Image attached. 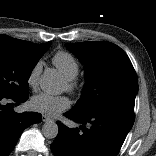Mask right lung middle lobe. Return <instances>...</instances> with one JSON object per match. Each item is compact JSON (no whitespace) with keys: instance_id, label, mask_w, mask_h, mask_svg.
<instances>
[{"instance_id":"dd1d6c3e","label":"right lung middle lobe","mask_w":156,"mask_h":156,"mask_svg":"<svg viewBox=\"0 0 156 156\" xmlns=\"http://www.w3.org/2000/svg\"><path fill=\"white\" fill-rule=\"evenodd\" d=\"M47 42L42 48L29 50L23 46L0 40V93L10 97L29 95L30 74L49 48Z\"/></svg>"}]
</instances>
